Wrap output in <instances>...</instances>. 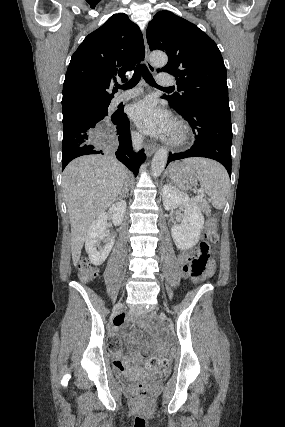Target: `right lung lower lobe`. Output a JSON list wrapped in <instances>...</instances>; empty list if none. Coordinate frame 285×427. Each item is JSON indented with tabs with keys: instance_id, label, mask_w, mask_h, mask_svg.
Listing matches in <instances>:
<instances>
[{
	"instance_id": "right-lung-lower-lobe-1",
	"label": "right lung lower lobe",
	"mask_w": 285,
	"mask_h": 427,
	"mask_svg": "<svg viewBox=\"0 0 285 427\" xmlns=\"http://www.w3.org/2000/svg\"><path fill=\"white\" fill-rule=\"evenodd\" d=\"M97 107L91 106L63 117L62 170L76 157L103 154L102 136L110 131L118 139L117 159L136 176L145 154L143 150L139 153L132 151L127 115L120 111L112 119L102 118L95 112Z\"/></svg>"
}]
</instances>
